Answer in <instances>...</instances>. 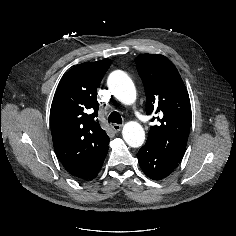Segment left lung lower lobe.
<instances>
[{
    "label": "left lung lower lobe",
    "instance_id": "0a47b994",
    "mask_svg": "<svg viewBox=\"0 0 236 236\" xmlns=\"http://www.w3.org/2000/svg\"><path fill=\"white\" fill-rule=\"evenodd\" d=\"M137 157L143 172L153 180H162L167 177L177 168L179 163L147 144L139 150Z\"/></svg>",
    "mask_w": 236,
    "mask_h": 236
}]
</instances>
